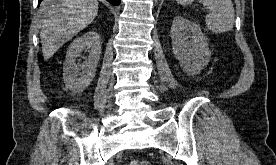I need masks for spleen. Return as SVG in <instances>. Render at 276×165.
I'll return each mask as SVG.
<instances>
[{
	"instance_id": "spleen-1",
	"label": "spleen",
	"mask_w": 276,
	"mask_h": 165,
	"mask_svg": "<svg viewBox=\"0 0 276 165\" xmlns=\"http://www.w3.org/2000/svg\"><path fill=\"white\" fill-rule=\"evenodd\" d=\"M180 5H189L194 0H176ZM210 12L205 21L208 29L215 33L232 30L235 21V11L231 0H200Z\"/></svg>"
}]
</instances>
